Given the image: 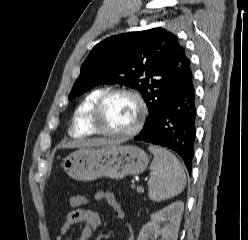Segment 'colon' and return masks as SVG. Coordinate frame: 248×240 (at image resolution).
<instances>
[{
    "label": "colon",
    "mask_w": 248,
    "mask_h": 240,
    "mask_svg": "<svg viewBox=\"0 0 248 240\" xmlns=\"http://www.w3.org/2000/svg\"><path fill=\"white\" fill-rule=\"evenodd\" d=\"M87 201L88 199L84 195H73L69 199V206L72 210L81 209L86 205Z\"/></svg>",
    "instance_id": "obj_1"
}]
</instances>
